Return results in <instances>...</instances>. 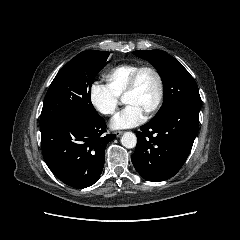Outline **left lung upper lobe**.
<instances>
[{"mask_svg": "<svg viewBox=\"0 0 240 240\" xmlns=\"http://www.w3.org/2000/svg\"><path fill=\"white\" fill-rule=\"evenodd\" d=\"M133 54L149 61L163 81L164 102L155 117L178 103H201L195 80L174 57L162 50H139Z\"/></svg>", "mask_w": 240, "mask_h": 240, "instance_id": "obj_1", "label": "left lung upper lobe"}]
</instances>
